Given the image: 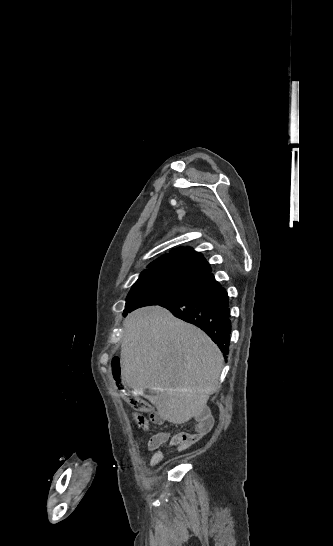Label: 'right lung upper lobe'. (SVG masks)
<instances>
[{"mask_svg": "<svg viewBox=\"0 0 333 546\" xmlns=\"http://www.w3.org/2000/svg\"><path fill=\"white\" fill-rule=\"evenodd\" d=\"M141 274H167L192 280H203L211 272L209 263L200 252L190 247L173 249L148 265Z\"/></svg>", "mask_w": 333, "mask_h": 546, "instance_id": "right-lung-upper-lobe-1", "label": "right lung upper lobe"}]
</instances>
